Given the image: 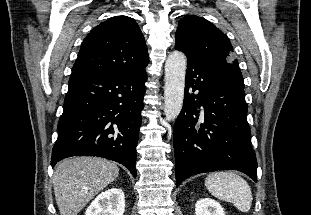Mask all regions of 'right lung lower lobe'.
Masks as SVG:
<instances>
[{
  "label": "right lung lower lobe",
  "mask_w": 311,
  "mask_h": 215,
  "mask_svg": "<svg viewBox=\"0 0 311 215\" xmlns=\"http://www.w3.org/2000/svg\"><path fill=\"white\" fill-rule=\"evenodd\" d=\"M146 80L145 70L129 75H71L52 167L70 156L93 155L121 163L136 177Z\"/></svg>",
  "instance_id": "right-lung-lower-lobe-1"
}]
</instances>
